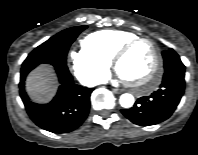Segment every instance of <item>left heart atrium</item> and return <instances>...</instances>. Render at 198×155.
Returning <instances> with one entry per match:
<instances>
[{
  "instance_id": "1",
  "label": "left heart atrium",
  "mask_w": 198,
  "mask_h": 155,
  "mask_svg": "<svg viewBox=\"0 0 198 155\" xmlns=\"http://www.w3.org/2000/svg\"><path fill=\"white\" fill-rule=\"evenodd\" d=\"M117 77L121 80H126V78L122 74H120L118 70H117Z\"/></svg>"
}]
</instances>
